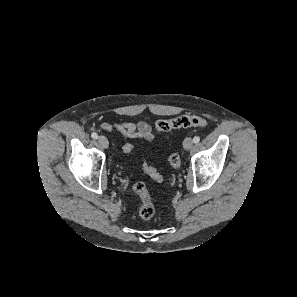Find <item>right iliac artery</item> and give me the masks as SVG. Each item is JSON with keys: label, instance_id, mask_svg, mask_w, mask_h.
Returning <instances> with one entry per match:
<instances>
[{"label": "right iliac artery", "instance_id": "82829eb1", "mask_svg": "<svg viewBox=\"0 0 297 297\" xmlns=\"http://www.w3.org/2000/svg\"><path fill=\"white\" fill-rule=\"evenodd\" d=\"M91 137H92L93 139H97V138H98V135H97V133L93 132V133L91 134Z\"/></svg>", "mask_w": 297, "mask_h": 297}]
</instances>
